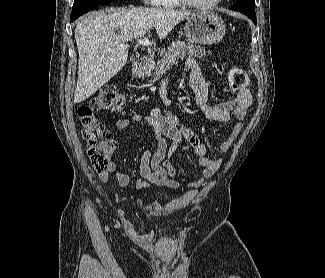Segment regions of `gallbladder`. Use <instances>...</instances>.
Wrapping results in <instances>:
<instances>
[{"instance_id":"obj_1","label":"gallbladder","mask_w":325,"mask_h":278,"mask_svg":"<svg viewBox=\"0 0 325 278\" xmlns=\"http://www.w3.org/2000/svg\"><path fill=\"white\" fill-rule=\"evenodd\" d=\"M136 59H138V55L137 54H133L132 55V60H136Z\"/></svg>"}]
</instances>
